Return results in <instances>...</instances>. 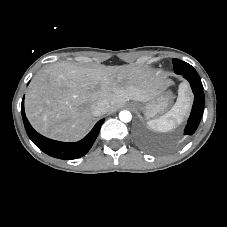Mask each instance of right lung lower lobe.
<instances>
[{
	"label": "right lung lower lobe",
	"instance_id": "right-lung-lower-lobe-1",
	"mask_svg": "<svg viewBox=\"0 0 227 227\" xmlns=\"http://www.w3.org/2000/svg\"><path fill=\"white\" fill-rule=\"evenodd\" d=\"M21 113L24 126L29 138L46 154L59 159H76L84 156L95 142L104 119L96 123L91 132L82 140L75 143H66L48 139L37 133L30 125L24 112V100L21 104Z\"/></svg>",
	"mask_w": 227,
	"mask_h": 227
}]
</instances>
